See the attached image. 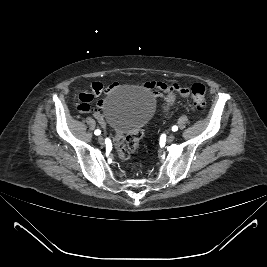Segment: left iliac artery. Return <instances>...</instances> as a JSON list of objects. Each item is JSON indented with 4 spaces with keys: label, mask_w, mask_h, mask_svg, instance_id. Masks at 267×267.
I'll use <instances>...</instances> for the list:
<instances>
[{
    "label": "left iliac artery",
    "mask_w": 267,
    "mask_h": 267,
    "mask_svg": "<svg viewBox=\"0 0 267 267\" xmlns=\"http://www.w3.org/2000/svg\"><path fill=\"white\" fill-rule=\"evenodd\" d=\"M177 130H178V127H177V126H173V127H172V131L175 132V131H177Z\"/></svg>",
    "instance_id": "left-iliac-artery-1"
}]
</instances>
